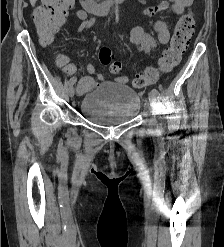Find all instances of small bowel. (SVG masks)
Wrapping results in <instances>:
<instances>
[{"instance_id":"c3829d8e","label":"small bowel","mask_w":224,"mask_h":247,"mask_svg":"<svg viewBox=\"0 0 224 247\" xmlns=\"http://www.w3.org/2000/svg\"><path fill=\"white\" fill-rule=\"evenodd\" d=\"M192 1L193 0H163L155 6L144 9L142 12L147 16H153L156 13L171 7V10L175 15H181L185 9L191 5ZM73 16L82 21L78 28V31L80 32L86 31L93 24V19L89 18L82 10L74 12ZM154 30L156 31L158 41L161 44L168 43L170 39V31L165 21L157 20L154 23ZM130 42L144 53H148L156 47L155 38L146 33L142 25H137L131 30ZM128 80L127 76L117 78V81L121 84H126Z\"/></svg>"}]
</instances>
